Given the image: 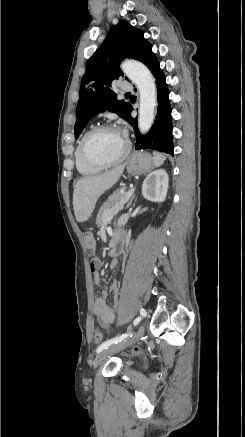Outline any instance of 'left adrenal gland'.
Here are the masks:
<instances>
[{"instance_id": "1", "label": "left adrenal gland", "mask_w": 245, "mask_h": 437, "mask_svg": "<svg viewBox=\"0 0 245 437\" xmlns=\"http://www.w3.org/2000/svg\"><path fill=\"white\" fill-rule=\"evenodd\" d=\"M134 198H135V194H133L132 198L130 199L129 203L126 206V209H128L131 206L132 201L134 200Z\"/></svg>"}]
</instances>
